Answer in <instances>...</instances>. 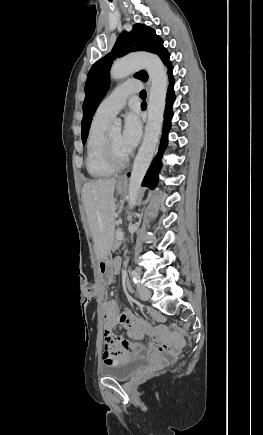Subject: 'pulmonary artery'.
I'll list each match as a JSON object with an SVG mask.
<instances>
[{
    "label": "pulmonary artery",
    "mask_w": 263,
    "mask_h": 435,
    "mask_svg": "<svg viewBox=\"0 0 263 435\" xmlns=\"http://www.w3.org/2000/svg\"><path fill=\"white\" fill-rule=\"evenodd\" d=\"M142 85L137 80H131L117 86L99 105L95 116L111 120L126 105L130 94L140 91Z\"/></svg>",
    "instance_id": "e3ab8cb5"
}]
</instances>
